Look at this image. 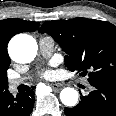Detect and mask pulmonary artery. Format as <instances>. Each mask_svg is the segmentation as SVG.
<instances>
[{
  "mask_svg": "<svg viewBox=\"0 0 116 116\" xmlns=\"http://www.w3.org/2000/svg\"><path fill=\"white\" fill-rule=\"evenodd\" d=\"M39 49L44 57H50L54 51V41L51 37L44 36L39 38ZM26 78H17L9 80L10 91H15L21 84L25 82Z\"/></svg>",
  "mask_w": 116,
  "mask_h": 116,
  "instance_id": "1",
  "label": "pulmonary artery"
}]
</instances>
